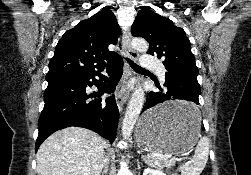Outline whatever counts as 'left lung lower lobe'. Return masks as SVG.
<instances>
[{"label": "left lung lower lobe", "instance_id": "obj_1", "mask_svg": "<svg viewBox=\"0 0 251 175\" xmlns=\"http://www.w3.org/2000/svg\"><path fill=\"white\" fill-rule=\"evenodd\" d=\"M167 88L164 92L151 91L147 97V104L143 112L171 99H181L189 101L187 105L150 111L145 114L144 123L155 125L168 122L192 121L200 116L199 94L201 92L197 76L181 71L168 70L165 76ZM161 91L162 89L159 88Z\"/></svg>", "mask_w": 251, "mask_h": 175}]
</instances>
